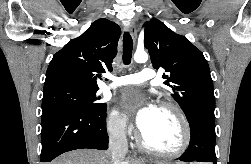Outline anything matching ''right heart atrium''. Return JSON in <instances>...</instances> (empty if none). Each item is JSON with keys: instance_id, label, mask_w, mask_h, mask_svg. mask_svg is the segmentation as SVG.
I'll return each instance as SVG.
<instances>
[{"instance_id": "d8ad5b80", "label": "right heart atrium", "mask_w": 251, "mask_h": 164, "mask_svg": "<svg viewBox=\"0 0 251 164\" xmlns=\"http://www.w3.org/2000/svg\"><path fill=\"white\" fill-rule=\"evenodd\" d=\"M107 127L115 137H126L131 131L127 116L116 109L110 111L107 118Z\"/></svg>"}]
</instances>
